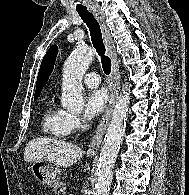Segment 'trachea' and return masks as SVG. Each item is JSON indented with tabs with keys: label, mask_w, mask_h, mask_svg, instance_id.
<instances>
[{
	"label": "trachea",
	"mask_w": 189,
	"mask_h": 195,
	"mask_svg": "<svg viewBox=\"0 0 189 195\" xmlns=\"http://www.w3.org/2000/svg\"><path fill=\"white\" fill-rule=\"evenodd\" d=\"M76 11L80 15L84 23L87 25V27L89 28L93 46L101 58L103 71L106 75H109L111 72V60L108 56L105 55V46L103 43L102 33H101L99 23L94 18L93 14L87 10L86 7H77Z\"/></svg>",
	"instance_id": "trachea-1"
}]
</instances>
